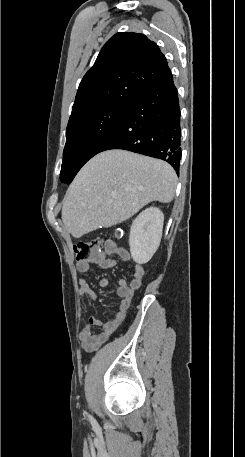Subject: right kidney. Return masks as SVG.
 <instances>
[{
    "label": "right kidney",
    "mask_w": 245,
    "mask_h": 457,
    "mask_svg": "<svg viewBox=\"0 0 245 457\" xmlns=\"http://www.w3.org/2000/svg\"><path fill=\"white\" fill-rule=\"evenodd\" d=\"M163 222L164 214L156 206H150L136 216L129 235L131 255L156 253L162 237Z\"/></svg>",
    "instance_id": "obj_1"
}]
</instances>
